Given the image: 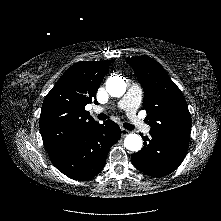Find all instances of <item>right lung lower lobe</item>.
<instances>
[{
  "mask_svg": "<svg viewBox=\"0 0 221 221\" xmlns=\"http://www.w3.org/2000/svg\"><path fill=\"white\" fill-rule=\"evenodd\" d=\"M121 137L119 126L107 120L96 123L81 133L70 145L50 155L53 164L66 176L87 180L99 173L110 147Z\"/></svg>",
  "mask_w": 221,
  "mask_h": 221,
  "instance_id": "obj_1",
  "label": "right lung lower lobe"
}]
</instances>
